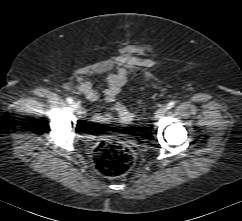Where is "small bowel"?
Listing matches in <instances>:
<instances>
[{"label":"small bowel","instance_id":"c3829d8e","mask_svg":"<svg viewBox=\"0 0 242 221\" xmlns=\"http://www.w3.org/2000/svg\"><path fill=\"white\" fill-rule=\"evenodd\" d=\"M127 70L124 62L120 61L115 73L110 74L106 79L107 86L102 90H97L87 81L82 80L74 86V91L83 94L87 99L93 102L114 103L120 88L126 82ZM113 112L119 115L124 114V107L121 104H114ZM110 117L103 112H95L91 116V121L94 126L107 127Z\"/></svg>","mask_w":242,"mask_h":221}]
</instances>
